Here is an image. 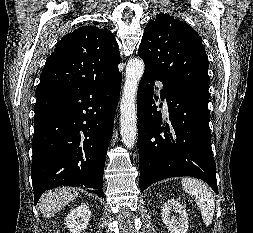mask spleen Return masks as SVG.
Here are the masks:
<instances>
[{"instance_id":"spleen-1","label":"spleen","mask_w":253,"mask_h":233,"mask_svg":"<svg viewBox=\"0 0 253 233\" xmlns=\"http://www.w3.org/2000/svg\"><path fill=\"white\" fill-rule=\"evenodd\" d=\"M181 184L185 192L195 199L201 211L203 222L208 226L212 222L215 209L213 194L206 184L194 178H183Z\"/></svg>"}]
</instances>
